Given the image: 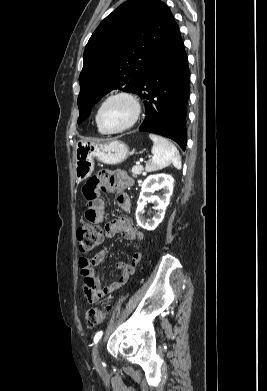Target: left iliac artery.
<instances>
[{
	"instance_id": "44dca946",
	"label": "left iliac artery",
	"mask_w": 267,
	"mask_h": 391,
	"mask_svg": "<svg viewBox=\"0 0 267 391\" xmlns=\"http://www.w3.org/2000/svg\"><path fill=\"white\" fill-rule=\"evenodd\" d=\"M102 331H100V332H98L96 335H95V337H94V342L95 343H97L99 340H100V338H101V336H102Z\"/></svg>"
}]
</instances>
